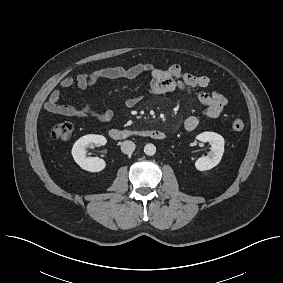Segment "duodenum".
<instances>
[{
  "label": "duodenum",
  "mask_w": 283,
  "mask_h": 283,
  "mask_svg": "<svg viewBox=\"0 0 283 283\" xmlns=\"http://www.w3.org/2000/svg\"><path fill=\"white\" fill-rule=\"evenodd\" d=\"M109 135L113 140H126L132 137H149L154 140H164L166 138V133L161 130L112 129Z\"/></svg>",
  "instance_id": "410a0bca"
}]
</instances>
